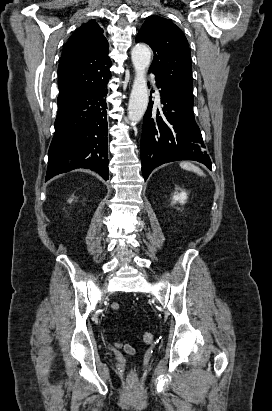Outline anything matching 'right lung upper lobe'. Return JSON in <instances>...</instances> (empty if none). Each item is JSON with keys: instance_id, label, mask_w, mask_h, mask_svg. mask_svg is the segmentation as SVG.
<instances>
[{"instance_id": "right-lung-upper-lobe-1", "label": "right lung upper lobe", "mask_w": 272, "mask_h": 411, "mask_svg": "<svg viewBox=\"0 0 272 411\" xmlns=\"http://www.w3.org/2000/svg\"><path fill=\"white\" fill-rule=\"evenodd\" d=\"M109 44L94 20L79 27L68 39L58 67L61 104L107 82L111 76Z\"/></svg>"}]
</instances>
